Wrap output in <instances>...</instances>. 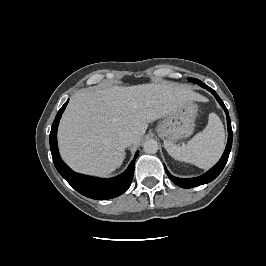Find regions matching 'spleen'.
<instances>
[{"label": "spleen", "mask_w": 266, "mask_h": 266, "mask_svg": "<svg viewBox=\"0 0 266 266\" xmlns=\"http://www.w3.org/2000/svg\"><path fill=\"white\" fill-rule=\"evenodd\" d=\"M225 145V132L220 118L210 113L208 124L187 145L165 144L168 153L178 161L194 164L203 169L213 166L221 157Z\"/></svg>", "instance_id": "obj_1"}]
</instances>
